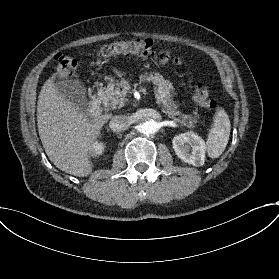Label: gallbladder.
Listing matches in <instances>:
<instances>
[{
    "instance_id": "1",
    "label": "gallbladder",
    "mask_w": 279,
    "mask_h": 279,
    "mask_svg": "<svg viewBox=\"0 0 279 279\" xmlns=\"http://www.w3.org/2000/svg\"><path fill=\"white\" fill-rule=\"evenodd\" d=\"M55 87L64 98L81 110L88 108L86 88L78 79L62 78L56 81Z\"/></svg>"
}]
</instances>
